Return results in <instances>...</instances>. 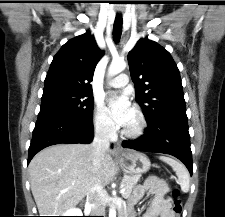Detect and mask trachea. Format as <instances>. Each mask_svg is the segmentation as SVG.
Returning a JSON list of instances; mask_svg holds the SVG:
<instances>
[{"instance_id":"3493384b","label":"trachea","mask_w":225,"mask_h":217,"mask_svg":"<svg viewBox=\"0 0 225 217\" xmlns=\"http://www.w3.org/2000/svg\"><path fill=\"white\" fill-rule=\"evenodd\" d=\"M122 23H123L122 16L117 15L113 25V38L115 42H118L120 40L122 33Z\"/></svg>"}]
</instances>
